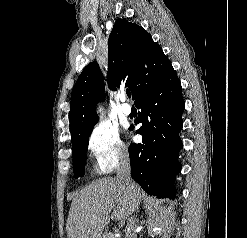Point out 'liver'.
I'll list each match as a JSON object with an SVG mask.
<instances>
[{
    "instance_id": "liver-1",
    "label": "liver",
    "mask_w": 247,
    "mask_h": 238,
    "mask_svg": "<svg viewBox=\"0 0 247 238\" xmlns=\"http://www.w3.org/2000/svg\"><path fill=\"white\" fill-rule=\"evenodd\" d=\"M134 195L139 204L141 194L137 185ZM133 211L130 194L121 182L114 178L97 179L76 193L67 220V236L101 238L110 219L119 220V227H123Z\"/></svg>"
}]
</instances>
